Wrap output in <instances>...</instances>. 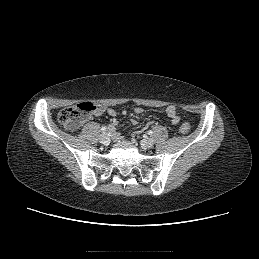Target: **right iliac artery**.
<instances>
[{
    "label": "right iliac artery",
    "mask_w": 259,
    "mask_h": 259,
    "mask_svg": "<svg viewBox=\"0 0 259 259\" xmlns=\"http://www.w3.org/2000/svg\"><path fill=\"white\" fill-rule=\"evenodd\" d=\"M106 129H107V128H106L105 126H103V127L101 128V131H102V132H105Z\"/></svg>",
    "instance_id": "1"
}]
</instances>
